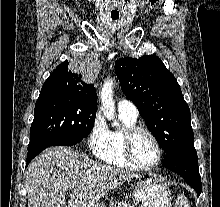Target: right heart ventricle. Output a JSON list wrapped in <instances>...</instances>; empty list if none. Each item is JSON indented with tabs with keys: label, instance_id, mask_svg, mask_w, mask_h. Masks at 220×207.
<instances>
[{
	"label": "right heart ventricle",
	"instance_id": "e07e8e85",
	"mask_svg": "<svg viewBox=\"0 0 220 207\" xmlns=\"http://www.w3.org/2000/svg\"><path fill=\"white\" fill-rule=\"evenodd\" d=\"M122 127L108 130L103 144L94 152L102 162L124 169H138L126 157L123 147V136L127 128L136 125L137 118L119 113Z\"/></svg>",
	"mask_w": 220,
	"mask_h": 207
}]
</instances>
